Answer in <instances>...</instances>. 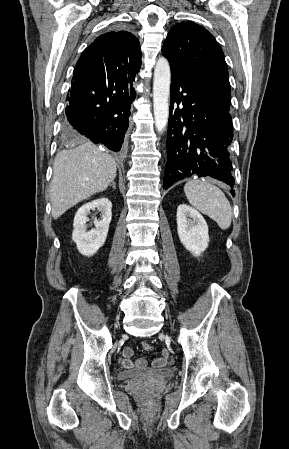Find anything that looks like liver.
<instances>
[{"label":"liver","instance_id":"1","mask_svg":"<svg viewBox=\"0 0 289 449\" xmlns=\"http://www.w3.org/2000/svg\"><path fill=\"white\" fill-rule=\"evenodd\" d=\"M116 170L114 158L91 142L58 153L50 190L52 217L58 219L77 203L106 190Z\"/></svg>","mask_w":289,"mask_h":449}]
</instances>
